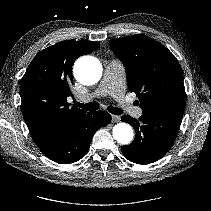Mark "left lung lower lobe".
<instances>
[{"mask_svg": "<svg viewBox=\"0 0 211 211\" xmlns=\"http://www.w3.org/2000/svg\"><path fill=\"white\" fill-rule=\"evenodd\" d=\"M182 118L181 114L171 113L142 114L139 120L122 116L121 120L131 124L136 132L134 141L122 147L123 155L143 165L162 158L173 145Z\"/></svg>", "mask_w": 211, "mask_h": 211, "instance_id": "obj_1", "label": "left lung lower lobe"}]
</instances>
